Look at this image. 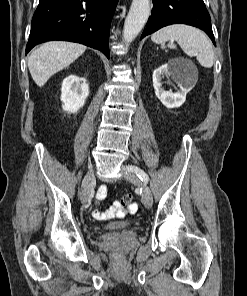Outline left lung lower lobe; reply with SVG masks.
I'll return each instance as SVG.
<instances>
[{
    "mask_svg": "<svg viewBox=\"0 0 247 296\" xmlns=\"http://www.w3.org/2000/svg\"><path fill=\"white\" fill-rule=\"evenodd\" d=\"M153 8L141 39L171 24H187L205 31L216 46L211 18L203 0H152Z\"/></svg>",
    "mask_w": 247,
    "mask_h": 296,
    "instance_id": "left-lung-lower-lobe-1",
    "label": "left lung lower lobe"
}]
</instances>
